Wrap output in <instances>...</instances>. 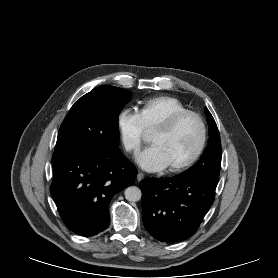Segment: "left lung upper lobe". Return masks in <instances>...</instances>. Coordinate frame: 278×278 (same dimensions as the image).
<instances>
[{
  "label": "left lung upper lobe",
  "instance_id": "obj_1",
  "mask_svg": "<svg viewBox=\"0 0 278 278\" xmlns=\"http://www.w3.org/2000/svg\"><path fill=\"white\" fill-rule=\"evenodd\" d=\"M205 112L210 136L208 145L201 159L194 166L177 176L218 182L222 157L220 135L211 113L207 108H205Z\"/></svg>",
  "mask_w": 278,
  "mask_h": 278
}]
</instances>
